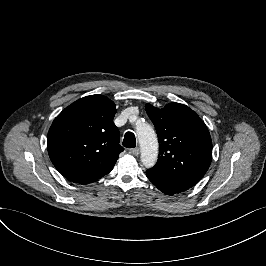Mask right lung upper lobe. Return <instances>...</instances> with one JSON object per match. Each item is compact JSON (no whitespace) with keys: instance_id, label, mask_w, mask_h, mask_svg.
Masks as SVG:
<instances>
[{"instance_id":"1","label":"right lung upper lobe","mask_w":266,"mask_h":266,"mask_svg":"<svg viewBox=\"0 0 266 266\" xmlns=\"http://www.w3.org/2000/svg\"><path fill=\"white\" fill-rule=\"evenodd\" d=\"M115 113L113 101L91 95L75 101L55 118L47 148L52 163L65 178L88 184L113 169L124 150L113 122Z\"/></svg>"}]
</instances>
